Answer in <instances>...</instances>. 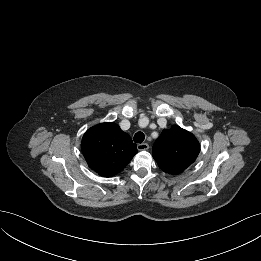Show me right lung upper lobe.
Returning <instances> with one entry per match:
<instances>
[{"mask_svg": "<svg viewBox=\"0 0 261 261\" xmlns=\"http://www.w3.org/2000/svg\"><path fill=\"white\" fill-rule=\"evenodd\" d=\"M81 149L89 167L103 177L118 174L138 152L130 136L111 122L88 129Z\"/></svg>", "mask_w": 261, "mask_h": 261, "instance_id": "cb5924a9", "label": "right lung upper lobe"}]
</instances>
